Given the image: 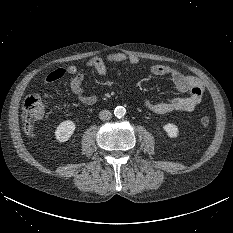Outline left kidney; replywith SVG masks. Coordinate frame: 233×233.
<instances>
[{"mask_svg":"<svg viewBox=\"0 0 233 233\" xmlns=\"http://www.w3.org/2000/svg\"><path fill=\"white\" fill-rule=\"evenodd\" d=\"M163 129L170 138L178 137L179 129L175 124L167 123L166 125L163 126Z\"/></svg>","mask_w":233,"mask_h":233,"instance_id":"1","label":"left kidney"}]
</instances>
